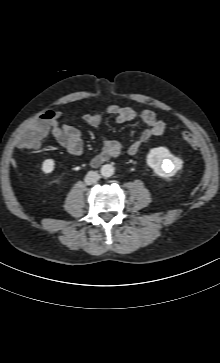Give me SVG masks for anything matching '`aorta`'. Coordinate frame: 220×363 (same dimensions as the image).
<instances>
[{
    "mask_svg": "<svg viewBox=\"0 0 220 363\" xmlns=\"http://www.w3.org/2000/svg\"><path fill=\"white\" fill-rule=\"evenodd\" d=\"M101 174L104 177H111L114 174V167L111 164H105L101 167Z\"/></svg>",
    "mask_w": 220,
    "mask_h": 363,
    "instance_id": "obj_1",
    "label": "aorta"
}]
</instances>
